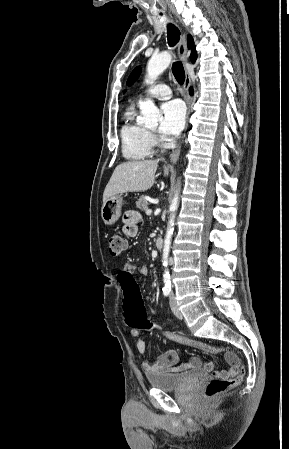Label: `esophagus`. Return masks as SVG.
Returning <instances> with one entry per match:
<instances>
[{
  "mask_svg": "<svg viewBox=\"0 0 289 449\" xmlns=\"http://www.w3.org/2000/svg\"><path fill=\"white\" fill-rule=\"evenodd\" d=\"M178 53H179L180 59L184 63H186L187 57H188V50H187V44H186L185 35L182 36L181 41L179 43ZM189 87H190V78L187 76L186 79H185V83H184V90H185L184 99H185L186 105H187L186 119H188L190 111H191V97H190L189 91H188ZM180 150H181V146L177 147L171 153V155H170L171 162H176L177 161V159L179 158V155H180Z\"/></svg>",
  "mask_w": 289,
  "mask_h": 449,
  "instance_id": "esophagus-1",
  "label": "esophagus"
}]
</instances>
